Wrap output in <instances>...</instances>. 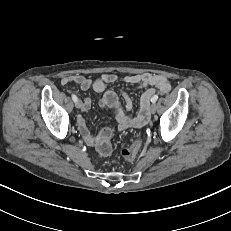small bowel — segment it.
<instances>
[{"instance_id":"c3829d8e","label":"small bowel","mask_w":231,"mask_h":231,"mask_svg":"<svg viewBox=\"0 0 231 231\" xmlns=\"http://www.w3.org/2000/svg\"><path fill=\"white\" fill-rule=\"evenodd\" d=\"M116 82H124L136 85L139 88H146L141 96L140 111L136 117H130L126 114V111H130L133 106L130 96L126 92H120V95L124 100L123 107L118 94L107 88L108 84ZM70 83L77 84L81 90L93 89L97 93H102L100 106L103 108H109L113 111L119 130H124L129 127L143 126L148 120V105L151 96L156 92V90L162 93H167L171 89V83L166 76L152 73L134 74L124 77H120L116 74H103L96 79H90L83 75H68L63 77L61 80L62 85ZM82 106L83 111L89 110L91 107V100L89 98H85ZM77 124L86 144L97 147L100 141V134H91L87 129L86 121L82 116L77 118Z\"/></svg>"}]
</instances>
